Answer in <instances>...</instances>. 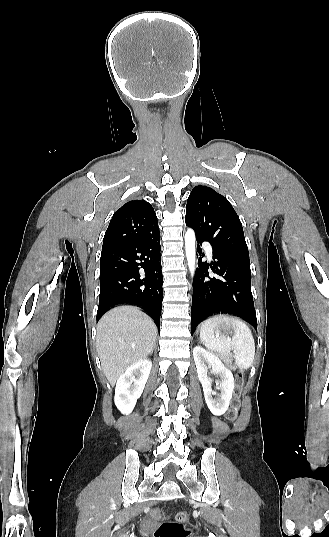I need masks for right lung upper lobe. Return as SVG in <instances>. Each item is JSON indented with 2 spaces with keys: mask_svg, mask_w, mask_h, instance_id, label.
I'll return each instance as SVG.
<instances>
[{
  "mask_svg": "<svg viewBox=\"0 0 329 537\" xmlns=\"http://www.w3.org/2000/svg\"><path fill=\"white\" fill-rule=\"evenodd\" d=\"M159 231L157 217L150 203L132 200L112 217L106 230L102 252L129 247Z\"/></svg>",
  "mask_w": 329,
  "mask_h": 537,
  "instance_id": "obj_1",
  "label": "right lung upper lobe"
}]
</instances>
